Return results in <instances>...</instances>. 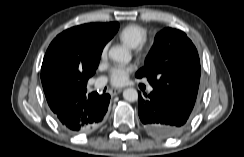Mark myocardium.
Listing matches in <instances>:
<instances>
[{
    "label": "myocardium",
    "mask_w": 244,
    "mask_h": 157,
    "mask_svg": "<svg viewBox=\"0 0 244 157\" xmlns=\"http://www.w3.org/2000/svg\"><path fill=\"white\" fill-rule=\"evenodd\" d=\"M149 51V45L144 41L139 46L136 47V54L139 57H144Z\"/></svg>",
    "instance_id": "obj_1"
}]
</instances>
